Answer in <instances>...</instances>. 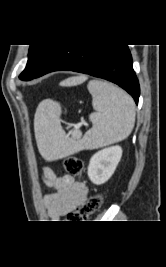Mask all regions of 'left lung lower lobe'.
<instances>
[{
	"label": "left lung lower lobe",
	"mask_w": 166,
	"mask_h": 267,
	"mask_svg": "<svg viewBox=\"0 0 166 267\" xmlns=\"http://www.w3.org/2000/svg\"><path fill=\"white\" fill-rule=\"evenodd\" d=\"M54 71H74L109 80L126 90L138 104L140 87L127 45H59L35 78Z\"/></svg>",
	"instance_id": "obj_1"
}]
</instances>
